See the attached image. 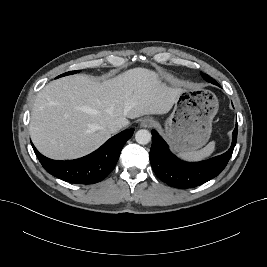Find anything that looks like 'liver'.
<instances>
[{
  "mask_svg": "<svg viewBox=\"0 0 267 267\" xmlns=\"http://www.w3.org/2000/svg\"><path fill=\"white\" fill-rule=\"evenodd\" d=\"M181 92L158 74L133 68L99 83L87 75L48 83L36 96L29 126L36 148L45 156L67 160L89 154L111 136L113 121L165 114Z\"/></svg>",
  "mask_w": 267,
  "mask_h": 267,
  "instance_id": "6515ba94",
  "label": "liver"
}]
</instances>
